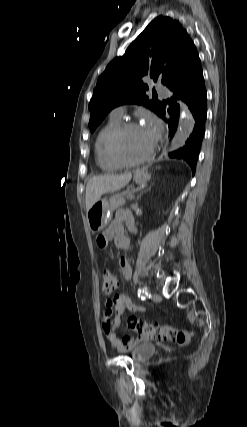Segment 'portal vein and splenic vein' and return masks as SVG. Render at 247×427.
I'll use <instances>...</instances> for the list:
<instances>
[{
	"mask_svg": "<svg viewBox=\"0 0 247 427\" xmlns=\"http://www.w3.org/2000/svg\"><path fill=\"white\" fill-rule=\"evenodd\" d=\"M128 198H129L130 200H132V199L134 198V194H132V193H131V194L129 195V197H128Z\"/></svg>",
	"mask_w": 247,
	"mask_h": 427,
	"instance_id": "18ae733b",
	"label": "portal vein and splenic vein"
}]
</instances>
